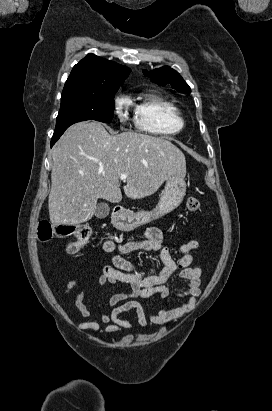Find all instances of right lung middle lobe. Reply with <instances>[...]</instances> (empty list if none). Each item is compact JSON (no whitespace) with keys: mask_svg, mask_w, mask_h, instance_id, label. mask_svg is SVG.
<instances>
[{"mask_svg":"<svg viewBox=\"0 0 272 411\" xmlns=\"http://www.w3.org/2000/svg\"><path fill=\"white\" fill-rule=\"evenodd\" d=\"M119 86L107 85L87 91L63 92L53 138L61 136L76 122L96 120L110 123L114 111V94Z\"/></svg>","mask_w":272,"mask_h":411,"instance_id":"right-lung-middle-lobe-1","label":"right lung middle lobe"}]
</instances>
